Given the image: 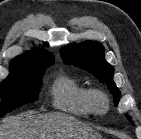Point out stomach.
Listing matches in <instances>:
<instances>
[{
  "label": "stomach",
  "instance_id": "0dacf381",
  "mask_svg": "<svg viewBox=\"0 0 141 139\" xmlns=\"http://www.w3.org/2000/svg\"><path fill=\"white\" fill-rule=\"evenodd\" d=\"M74 139H102V137L99 134L90 131V132L78 134L77 136L74 137Z\"/></svg>",
  "mask_w": 141,
  "mask_h": 139
}]
</instances>
